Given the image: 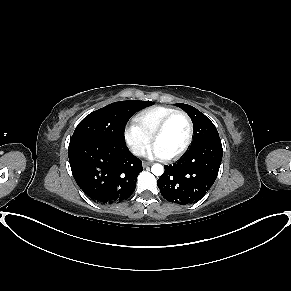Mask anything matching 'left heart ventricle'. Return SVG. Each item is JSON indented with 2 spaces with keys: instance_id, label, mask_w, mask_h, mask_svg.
<instances>
[{
  "instance_id": "left-heart-ventricle-1",
  "label": "left heart ventricle",
  "mask_w": 291,
  "mask_h": 291,
  "mask_svg": "<svg viewBox=\"0 0 291 291\" xmlns=\"http://www.w3.org/2000/svg\"><path fill=\"white\" fill-rule=\"evenodd\" d=\"M188 136V124L183 116L174 117L164 133L155 141L168 156L179 151Z\"/></svg>"
}]
</instances>
